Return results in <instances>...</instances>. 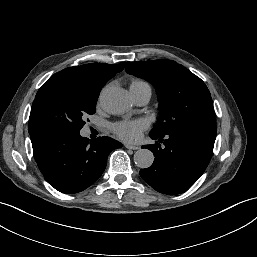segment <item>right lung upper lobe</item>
<instances>
[{"label": "right lung upper lobe", "instance_id": "1", "mask_svg": "<svg viewBox=\"0 0 257 257\" xmlns=\"http://www.w3.org/2000/svg\"><path fill=\"white\" fill-rule=\"evenodd\" d=\"M124 62L117 64L91 63L76 67L66 68L56 74L52 79H62L74 85L81 87L89 94H97L102 87L124 68Z\"/></svg>", "mask_w": 257, "mask_h": 257}]
</instances>
